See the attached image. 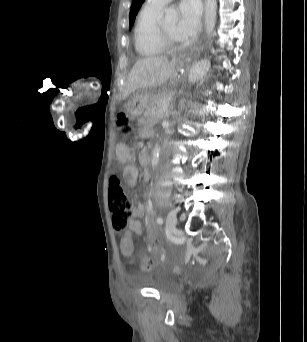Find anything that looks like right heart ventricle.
I'll return each mask as SVG.
<instances>
[{"instance_id":"1","label":"right heart ventricle","mask_w":307,"mask_h":342,"mask_svg":"<svg viewBox=\"0 0 307 342\" xmlns=\"http://www.w3.org/2000/svg\"><path fill=\"white\" fill-rule=\"evenodd\" d=\"M159 12L141 9L133 30V44L136 54L142 59L155 58L162 54L154 40V26Z\"/></svg>"}]
</instances>
